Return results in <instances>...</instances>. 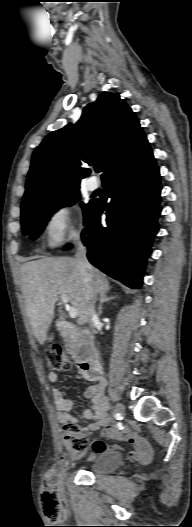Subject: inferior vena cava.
Listing matches in <instances>:
<instances>
[{
  "instance_id": "inferior-vena-cava-1",
  "label": "inferior vena cava",
  "mask_w": 192,
  "mask_h": 527,
  "mask_svg": "<svg viewBox=\"0 0 192 527\" xmlns=\"http://www.w3.org/2000/svg\"><path fill=\"white\" fill-rule=\"evenodd\" d=\"M74 244L76 246V259L79 265L80 269V275L82 277V282L86 291V300H90V294L92 291L91 288V282H92V274L90 272L91 265L87 260L86 257V249L84 245L81 242L80 235L76 234L74 236ZM98 321V315L94 308V302L90 304L89 307V325L92 331H95V322Z\"/></svg>"
}]
</instances>
